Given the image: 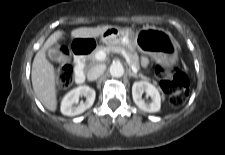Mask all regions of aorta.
<instances>
[{
    "label": "aorta",
    "instance_id": "1",
    "mask_svg": "<svg viewBox=\"0 0 225 155\" xmlns=\"http://www.w3.org/2000/svg\"><path fill=\"white\" fill-rule=\"evenodd\" d=\"M109 72L112 77H122L124 74V68L121 63H114L110 66Z\"/></svg>",
    "mask_w": 225,
    "mask_h": 155
}]
</instances>
